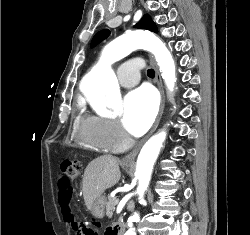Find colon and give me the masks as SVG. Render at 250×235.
<instances>
[{
    "label": "colon",
    "mask_w": 250,
    "mask_h": 235,
    "mask_svg": "<svg viewBox=\"0 0 250 235\" xmlns=\"http://www.w3.org/2000/svg\"><path fill=\"white\" fill-rule=\"evenodd\" d=\"M81 169L82 166L79 161L72 159L63 160L60 164L59 189L71 191V184L80 175ZM65 221L72 224L79 231V235H94L91 231L79 225L70 213L65 216Z\"/></svg>",
    "instance_id": "1"
}]
</instances>
